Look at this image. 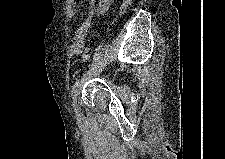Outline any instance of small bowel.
I'll return each instance as SVG.
<instances>
[{
    "label": "small bowel",
    "instance_id": "small-bowel-1",
    "mask_svg": "<svg viewBox=\"0 0 225 159\" xmlns=\"http://www.w3.org/2000/svg\"><path fill=\"white\" fill-rule=\"evenodd\" d=\"M110 5H111V0H100L96 8H94L93 3L91 4V9H90L88 18L83 22V24L75 32L73 42L70 46L71 55L78 56L83 52V49L85 46V38L88 32L92 15L95 12L99 14L105 13ZM68 6L70 8L71 15H73V12H74L73 1H70L68 3Z\"/></svg>",
    "mask_w": 225,
    "mask_h": 159
}]
</instances>
